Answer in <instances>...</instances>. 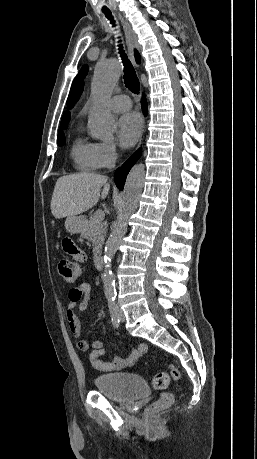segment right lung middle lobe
I'll return each instance as SVG.
<instances>
[{"label":"right lung middle lobe","mask_w":257,"mask_h":459,"mask_svg":"<svg viewBox=\"0 0 257 459\" xmlns=\"http://www.w3.org/2000/svg\"><path fill=\"white\" fill-rule=\"evenodd\" d=\"M57 143L62 146L63 144H65V136H64V133L61 131L58 133V138H57Z\"/></svg>","instance_id":"right-lung-middle-lobe-1"}]
</instances>
